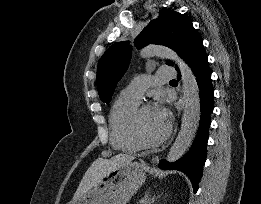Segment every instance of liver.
Listing matches in <instances>:
<instances>
[{
  "mask_svg": "<svg viewBox=\"0 0 261 204\" xmlns=\"http://www.w3.org/2000/svg\"><path fill=\"white\" fill-rule=\"evenodd\" d=\"M133 160L134 156L128 154H118L110 159H96L85 172L73 196V201L79 199L84 193L97 185L107 173L129 164Z\"/></svg>",
  "mask_w": 261,
  "mask_h": 204,
  "instance_id": "6515ba94",
  "label": "liver"
}]
</instances>
